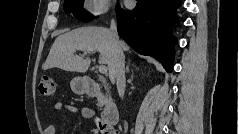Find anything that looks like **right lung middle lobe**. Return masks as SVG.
Returning <instances> with one entry per match:
<instances>
[{"mask_svg":"<svg viewBox=\"0 0 239 134\" xmlns=\"http://www.w3.org/2000/svg\"><path fill=\"white\" fill-rule=\"evenodd\" d=\"M83 0H65L64 10L73 13V15L83 22H89L94 19L90 13L86 12L83 8Z\"/></svg>","mask_w":239,"mask_h":134,"instance_id":"dd1d6c3e","label":"right lung middle lobe"}]
</instances>
